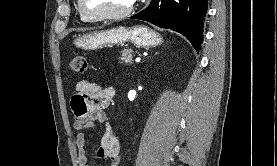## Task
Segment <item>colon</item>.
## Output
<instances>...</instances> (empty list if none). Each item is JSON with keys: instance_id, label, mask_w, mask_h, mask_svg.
Masks as SVG:
<instances>
[{"instance_id": "5ec220e1", "label": "colon", "mask_w": 277, "mask_h": 166, "mask_svg": "<svg viewBox=\"0 0 277 166\" xmlns=\"http://www.w3.org/2000/svg\"><path fill=\"white\" fill-rule=\"evenodd\" d=\"M87 60L84 55H76L69 63V69L73 73L84 74L87 70Z\"/></svg>"}]
</instances>
